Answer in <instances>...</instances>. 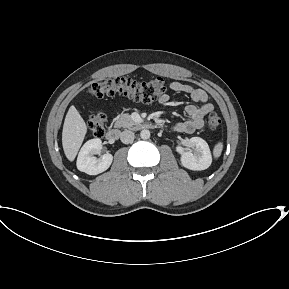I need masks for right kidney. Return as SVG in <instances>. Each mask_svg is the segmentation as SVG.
Returning a JSON list of instances; mask_svg holds the SVG:
<instances>
[{
    "instance_id": "ca27d5eb",
    "label": "right kidney",
    "mask_w": 289,
    "mask_h": 289,
    "mask_svg": "<svg viewBox=\"0 0 289 289\" xmlns=\"http://www.w3.org/2000/svg\"><path fill=\"white\" fill-rule=\"evenodd\" d=\"M102 148V141L98 138L87 141L81 148L77 158V168L81 172L89 175H97L106 171L112 161L113 156L109 153L97 159L94 154Z\"/></svg>"
}]
</instances>
